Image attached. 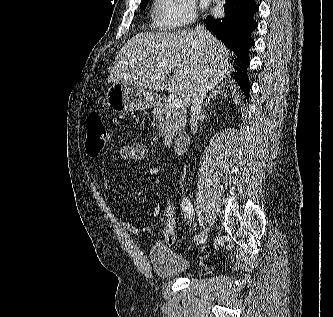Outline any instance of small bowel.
<instances>
[{"instance_id":"1","label":"small bowel","mask_w":333,"mask_h":317,"mask_svg":"<svg viewBox=\"0 0 333 317\" xmlns=\"http://www.w3.org/2000/svg\"><path fill=\"white\" fill-rule=\"evenodd\" d=\"M118 158L121 163L126 162H145L150 159V155L147 146L139 141L132 142L130 144L123 145L118 150ZM102 186L104 191L108 194V178L106 174L102 178ZM162 209V204L158 203L152 210L151 216L156 218L159 216ZM121 227L132 233V234H143L152 230L153 226L151 224L144 226H137L127 220L121 221Z\"/></svg>"}]
</instances>
